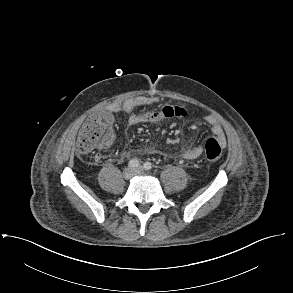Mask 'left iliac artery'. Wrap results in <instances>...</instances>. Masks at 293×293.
Segmentation results:
<instances>
[{
	"instance_id": "44dca946",
	"label": "left iliac artery",
	"mask_w": 293,
	"mask_h": 293,
	"mask_svg": "<svg viewBox=\"0 0 293 293\" xmlns=\"http://www.w3.org/2000/svg\"><path fill=\"white\" fill-rule=\"evenodd\" d=\"M143 166H144L145 170H151L152 169V164L150 162H145Z\"/></svg>"
}]
</instances>
